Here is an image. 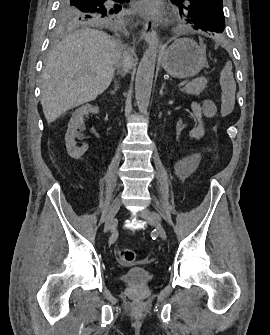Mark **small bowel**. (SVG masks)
Here are the masks:
<instances>
[{
	"label": "small bowel",
	"instance_id": "c3829d8e",
	"mask_svg": "<svg viewBox=\"0 0 270 335\" xmlns=\"http://www.w3.org/2000/svg\"><path fill=\"white\" fill-rule=\"evenodd\" d=\"M200 159L201 154L199 152L193 153L187 159L178 164L177 171L183 175L193 171L198 166Z\"/></svg>",
	"mask_w": 270,
	"mask_h": 335
}]
</instances>
